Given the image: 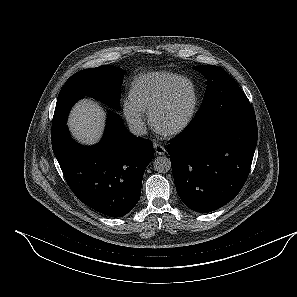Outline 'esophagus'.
I'll return each mask as SVG.
<instances>
[{
	"mask_svg": "<svg viewBox=\"0 0 297 297\" xmlns=\"http://www.w3.org/2000/svg\"><path fill=\"white\" fill-rule=\"evenodd\" d=\"M153 147H154V151L157 155H164L166 152L165 147L159 143H154Z\"/></svg>",
	"mask_w": 297,
	"mask_h": 297,
	"instance_id": "34e87169",
	"label": "esophagus"
}]
</instances>
